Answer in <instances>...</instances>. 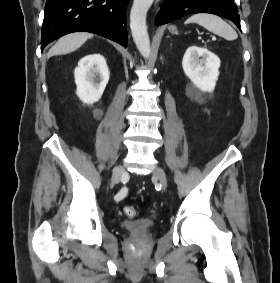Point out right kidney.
Masks as SVG:
<instances>
[{
    "label": "right kidney",
    "instance_id": "right-kidney-1",
    "mask_svg": "<svg viewBox=\"0 0 280 283\" xmlns=\"http://www.w3.org/2000/svg\"><path fill=\"white\" fill-rule=\"evenodd\" d=\"M109 77L110 72L102 55L92 54L83 57L74 70L77 96L86 104L99 101Z\"/></svg>",
    "mask_w": 280,
    "mask_h": 283
}]
</instances>
